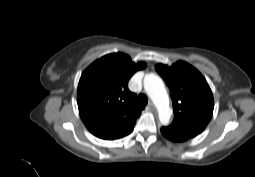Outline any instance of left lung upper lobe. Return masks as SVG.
Instances as JSON below:
<instances>
[{
    "instance_id": "obj_1",
    "label": "left lung upper lobe",
    "mask_w": 255,
    "mask_h": 177,
    "mask_svg": "<svg viewBox=\"0 0 255 177\" xmlns=\"http://www.w3.org/2000/svg\"><path fill=\"white\" fill-rule=\"evenodd\" d=\"M156 70L170 89L174 111L172 124L162 129L177 142L196 137L211 120L214 109L207 81L196 68L184 61L170 67L157 64Z\"/></svg>"
}]
</instances>
